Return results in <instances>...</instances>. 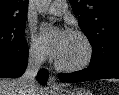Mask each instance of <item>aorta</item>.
Returning <instances> with one entry per match:
<instances>
[{
    "instance_id": "762f6f07",
    "label": "aorta",
    "mask_w": 119,
    "mask_h": 95,
    "mask_svg": "<svg viewBox=\"0 0 119 95\" xmlns=\"http://www.w3.org/2000/svg\"><path fill=\"white\" fill-rule=\"evenodd\" d=\"M52 0H37V8L39 12H44L50 5Z\"/></svg>"
}]
</instances>
